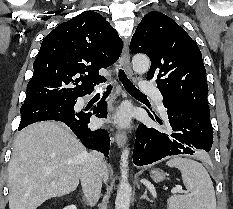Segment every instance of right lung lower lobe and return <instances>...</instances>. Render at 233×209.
<instances>
[{
  "instance_id": "98d812e1",
  "label": "right lung lower lobe",
  "mask_w": 233,
  "mask_h": 209,
  "mask_svg": "<svg viewBox=\"0 0 233 209\" xmlns=\"http://www.w3.org/2000/svg\"><path fill=\"white\" fill-rule=\"evenodd\" d=\"M111 89L112 87L108 86V89L98 103L97 108L95 107L92 112H79L67 118L54 120L66 124L76 134L84 146L90 149L99 150L104 153L106 157H108L110 149V137L108 132L104 129L92 131L88 127V123L93 114L97 117L107 116L105 99L109 95ZM24 127L26 126H19L18 130H22Z\"/></svg>"
}]
</instances>
